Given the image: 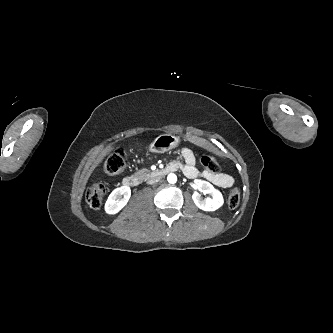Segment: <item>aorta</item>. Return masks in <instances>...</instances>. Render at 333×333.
Wrapping results in <instances>:
<instances>
[{"label": "aorta", "instance_id": "obj_1", "mask_svg": "<svg viewBox=\"0 0 333 333\" xmlns=\"http://www.w3.org/2000/svg\"><path fill=\"white\" fill-rule=\"evenodd\" d=\"M167 181L170 183V184H175L177 182V176L176 174L174 173H170L168 176H167Z\"/></svg>", "mask_w": 333, "mask_h": 333}]
</instances>
